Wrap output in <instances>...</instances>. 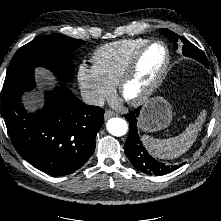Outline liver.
I'll list each match as a JSON object with an SVG mask.
<instances>
[{
    "instance_id": "liver-1",
    "label": "liver",
    "mask_w": 221,
    "mask_h": 221,
    "mask_svg": "<svg viewBox=\"0 0 221 221\" xmlns=\"http://www.w3.org/2000/svg\"><path fill=\"white\" fill-rule=\"evenodd\" d=\"M36 75L41 86L51 85L54 82L53 78L50 77V75H48L45 71L40 70ZM39 102L40 99H37L36 96L25 98V103L30 108L36 106Z\"/></svg>"
}]
</instances>
